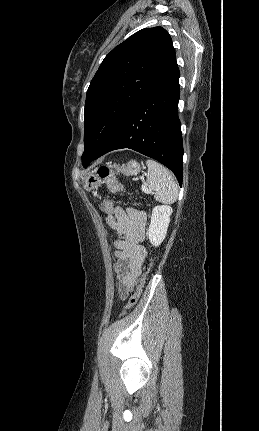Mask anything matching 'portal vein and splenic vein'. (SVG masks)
Returning <instances> with one entry per match:
<instances>
[{"label": "portal vein and splenic vein", "instance_id": "18ae733b", "mask_svg": "<svg viewBox=\"0 0 259 431\" xmlns=\"http://www.w3.org/2000/svg\"><path fill=\"white\" fill-rule=\"evenodd\" d=\"M142 188H143V190H144L145 192H149V191L145 188V186H144V185L142 186Z\"/></svg>", "mask_w": 259, "mask_h": 431}]
</instances>
